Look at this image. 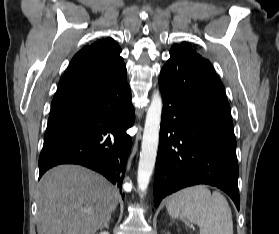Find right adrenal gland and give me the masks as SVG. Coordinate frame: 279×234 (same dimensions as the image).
I'll return each mask as SVG.
<instances>
[{"label":"right adrenal gland","mask_w":279,"mask_h":234,"mask_svg":"<svg viewBox=\"0 0 279 234\" xmlns=\"http://www.w3.org/2000/svg\"><path fill=\"white\" fill-rule=\"evenodd\" d=\"M104 226L108 228V226H109V220L105 223Z\"/></svg>","instance_id":"obj_1"}]
</instances>
